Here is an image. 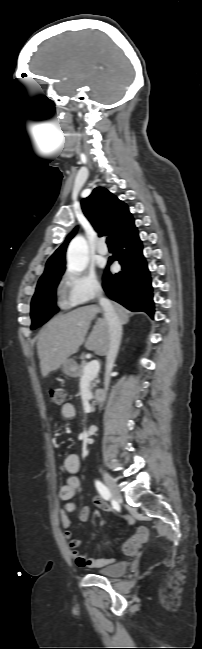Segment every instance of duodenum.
I'll return each instance as SVG.
<instances>
[{
    "label": "duodenum",
    "instance_id": "obj_1",
    "mask_svg": "<svg viewBox=\"0 0 202 649\" xmlns=\"http://www.w3.org/2000/svg\"><path fill=\"white\" fill-rule=\"evenodd\" d=\"M105 399V395L103 393H96L95 394V400L97 403L103 402Z\"/></svg>",
    "mask_w": 202,
    "mask_h": 649
}]
</instances>
